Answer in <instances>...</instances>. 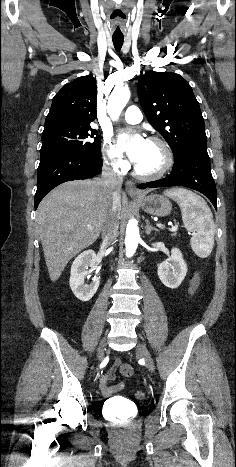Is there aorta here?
<instances>
[{
	"instance_id": "1",
	"label": "aorta",
	"mask_w": 236,
	"mask_h": 467,
	"mask_svg": "<svg viewBox=\"0 0 236 467\" xmlns=\"http://www.w3.org/2000/svg\"><path fill=\"white\" fill-rule=\"evenodd\" d=\"M130 96V90L126 87H118L112 91L108 99L107 111L114 121L118 119L123 108L128 103ZM139 240V228L135 220L131 219L128 221L125 236V250L127 257H131L134 255Z\"/></svg>"
}]
</instances>
